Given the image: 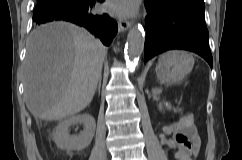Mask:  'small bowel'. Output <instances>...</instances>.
<instances>
[{
	"mask_svg": "<svg viewBox=\"0 0 242 160\" xmlns=\"http://www.w3.org/2000/svg\"><path fill=\"white\" fill-rule=\"evenodd\" d=\"M166 132H173L172 139L163 138L164 143L173 150L177 160H191L201 148V139L191 115L183 116L178 122L168 125Z\"/></svg>",
	"mask_w": 242,
	"mask_h": 160,
	"instance_id": "1",
	"label": "small bowel"
}]
</instances>
